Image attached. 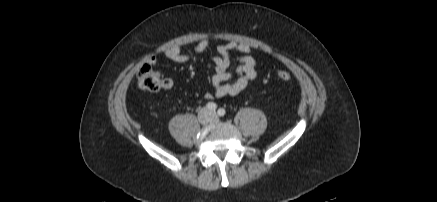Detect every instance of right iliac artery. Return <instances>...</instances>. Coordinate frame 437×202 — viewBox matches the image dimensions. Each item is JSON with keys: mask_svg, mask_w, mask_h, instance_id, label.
<instances>
[{"mask_svg": "<svg viewBox=\"0 0 437 202\" xmlns=\"http://www.w3.org/2000/svg\"><path fill=\"white\" fill-rule=\"evenodd\" d=\"M207 109L210 111H215L217 109V105L214 102H208L206 104Z\"/></svg>", "mask_w": 437, "mask_h": 202, "instance_id": "1", "label": "right iliac artery"}]
</instances>
